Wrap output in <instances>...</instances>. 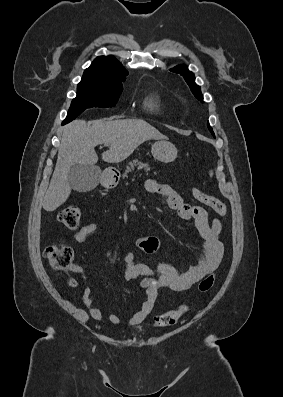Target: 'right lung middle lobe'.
Listing matches in <instances>:
<instances>
[{
  "mask_svg": "<svg viewBox=\"0 0 283 397\" xmlns=\"http://www.w3.org/2000/svg\"><path fill=\"white\" fill-rule=\"evenodd\" d=\"M122 82L123 81H98L82 78L77 86V97L72 100L63 124L75 119L86 108L114 106L123 90Z\"/></svg>",
  "mask_w": 283,
  "mask_h": 397,
  "instance_id": "obj_1",
  "label": "right lung middle lobe"
}]
</instances>
